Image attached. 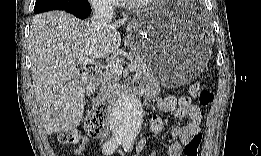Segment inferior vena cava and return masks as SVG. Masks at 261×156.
<instances>
[{
  "label": "inferior vena cava",
  "mask_w": 261,
  "mask_h": 156,
  "mask_svg": "<svg viewBox=\"0 0 261 156\" xmlns=\"http://www.w3.org/2000/svg\"><path fill=\"white\" fill-rule=\"evenodd\" d=\"M93 15L91 25L102 30L111 23L113 17V7L110 0H95L92 2Z\"/></svg>",
  "instance_id": "inferior-vena-cava-1"
}]
</instances>
